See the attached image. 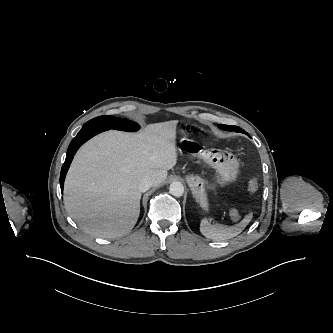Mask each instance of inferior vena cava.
Segmentation results:
<instances>
[{
    "label": "inferior vena cava",
    "mask_w": 333,
    "mask_h": 333,
    "mask_svg": "<svg viewBox=\"0 0 333 333\" xmlns=\"http://www.w3.org/2000/svg\"><path fill=\"white\" fill-rule=\"evenodd\" d=\"M153 186V181L150 178H144L139 182L138 189L141 192H146Z\"/></svg>",
    "instance_id": "602c4592"
}]
</instances>
